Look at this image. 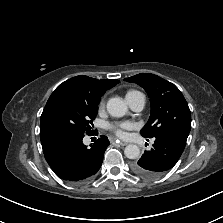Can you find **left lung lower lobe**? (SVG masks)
Wrapping results in <instances>:
<instances>
[{
    "label": "left lung lower lobe",
    "mask_w": 223,
    "mask_h": 223,
    "mask_svg": "<svg viewBox=\"0 0 223 223\" xmlns=\"http://www.w3.org/2000/svg\"><path fill=\"white\" fill-rule=\"evenodd\" d=\"M154 140L153 147L132 165L139 176L155 178L174 167L184 151L187 138L176 133H164Z\"/></svg>",
    "instance_id": "left-lung-lower-lobe-1"
}]
</instances>
